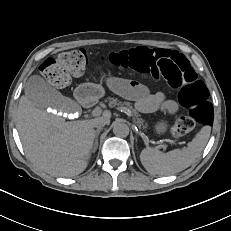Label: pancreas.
I'll use <instances>...</instances> for the list:
<instances>
[{"instance_id": "obj_1", "label": "pancreas", "mask_w": 231, "mask_h": 231, "mask_svg": "<svg viewBox=\"0 0 231 231\" xmlns=\"http://www.w3.org/2000/svg\"><path fill=\"white\" fill-rule=\"evenodd\" d=\"M107 102L111 108L116 107L117 109H121L131 114L140 128H147L145 120L141 118L139 112L132 106L130 102L120 101L117 98H108Z\"/></svg>"}]
</instances>
